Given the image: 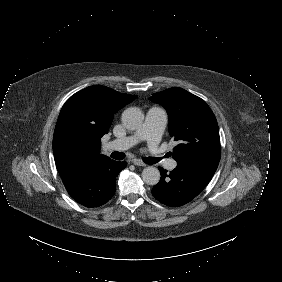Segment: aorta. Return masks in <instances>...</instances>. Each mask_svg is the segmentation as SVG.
Wrapping results in <instances>:
<instances>
[{
    "label": "aorta",
    "instance_id": "762f6f07",
    "mask_svg": "<svg viewBox=\"0 0 282 282\" xmlns=\"http://www.w3.org/2000/svg\"><path fill=\"white\" fill-rule=\"evenodd\" d=\"M144 120V114L138 107H129L122 113V122L127 129L139 128ZM160 171L153 166H148L142 171V179L147 185H156L160 180Z\"/></svg>",
    "mask_w": 282,
    "mask_h": 282
}]
</instances>
